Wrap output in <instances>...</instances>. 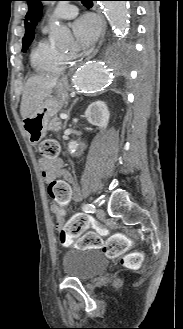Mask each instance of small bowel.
I'll return each mask as SVG.
<instances>
[{
	"mask_svg": "<svg viewBox=\"0 0 183 329\" xmlns=\"http://www.w3.org/2000/svg\"><path fill=\"white\" fill-rule=\"evenodd\" d=\"M40 168L46 182V193L51 194L52 211L57 214V227L60 228L62 221L60 218H71V211L76 208V200L80 198V191L77 180L73 172L64 167L60 160H40ZM72 240H62L65 246L72 244Z\"/></svg>",
	"mask_w": 183,
	"mask_h": 329,
	"instance_id": "obj_1",
	"label": "small bowel"
}]
</instances>
